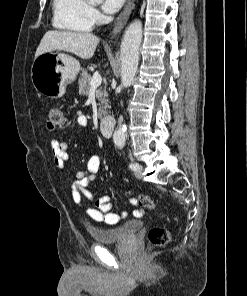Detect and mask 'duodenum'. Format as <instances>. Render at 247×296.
Listing matches in <instances>:
<instances>
[{
    "label": "duodenum",
    "mask_w": 247,
    "mask_h": 296,
    "mask_svg": "<svg viewBox=\"0 0 247 296\" xmlns=\"http://www.w3.org/2000/svg\"><path fill=\"white\" fill-rule=\"evenodd\" d=\"M100 131L104 137H111L114 131L115 121L113 117L106 116L100 119Z\"/></svg>",
    "instance_id": "obj_1"
}]
</instances>
